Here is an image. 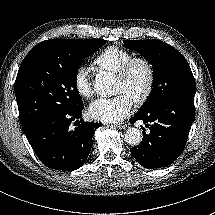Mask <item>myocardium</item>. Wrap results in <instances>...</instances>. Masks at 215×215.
Here are the masks:
<instances>
[{
  "instance_id": "myocardium-1",
  "label": "myocardium",
  "mask_w": 215,
  "mask_h": 215,
  "mask_svg": "<svg viewBox=\"0 0 215 215\" xmlns=\"http://www.w3.org/2000/svg\"><path fill=\"white\" fill-rule=\"evenodd\" d=\"M138 64H141L145 68L146 76H147L146 85L143 93L141 94V96L133 100V102L137 106H141L148 101L154 89L155 70L152 62L145 56H141V55L132 56L116 72V77L121 80L127 79L130 76L133 68Z\"/></svg>"
}]
</instances>
